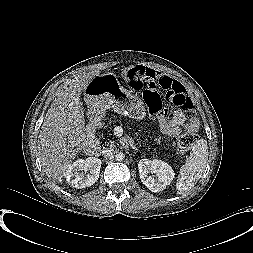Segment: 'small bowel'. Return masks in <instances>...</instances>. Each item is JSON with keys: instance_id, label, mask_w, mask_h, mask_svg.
Listing matches in <instances>:
<instances>
[{"instance_id": "1", "label": "small bowel", "mask_w": 253, "mask_h": 253, "mask_svg": "<svg viewBox=\"0 0 253 253\" xmlns=\"http://www.w3.org/2000/svg\"><path fill=\"white\" fill-rule=\"evenodd\" d=\"M151 72H155L150 70ZM159 78L173 85H181L178 81L168 75L155 72ZM182 86V85H181ZM185 90V89H184ZM159 126L161 132L168 138H176L183 134L194 133L198 129V121L195 118H188L182 110H176L171 119L167 120L163 117L159 118Z\"/></svg>"}]
</instances>
